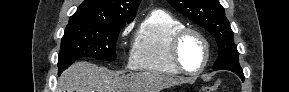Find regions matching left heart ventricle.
Instances as JSON below:
<instances>
[{
	"instance_id": "obj_1",
	"label": "left heart ventricle",
	"mask_w": 289,
	"mask_h": 92,
	"mask_svg": "<svg viewBox=\"0 0 289 92\" xmlns=\"http://www.w3.org/2000/svg\"><path fill=\"white\" fill-rule=\"evenodd\" d=\"M180 59L184 67L190 71L200 68L204 60V46L198 37H185L180 47Z\"/></svg>"
}]
</instances>
